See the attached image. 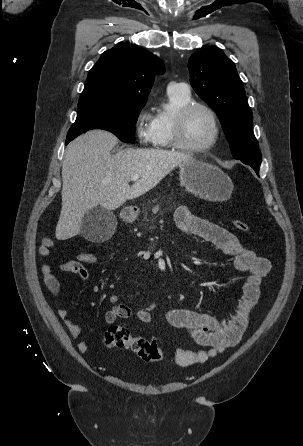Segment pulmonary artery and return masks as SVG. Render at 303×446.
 I'll use <instances>...</instances> for the list:
<instances>
[{"instance_id":"pulmonary-artery-1","label":"pulmonary artery","mask_w":303,"mask_h":446,"mask_svg":"<svg viewBox=\"0 0 303 446\" xmlns=\"http://www.w3.org/2000/svg\"><path fill=\"white\" fill-rule=\"evenodd\" d=\"M168 88H179L182 90H188V86L184 83H176V82H172L169 84Z\"/></svg>"}]
</instances>
